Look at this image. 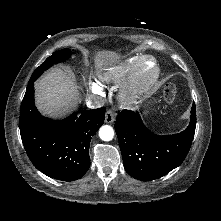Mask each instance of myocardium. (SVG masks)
Wrapping results in <instances>:
<instances>
[{
  "instance_id": "myocardium-1",
  "label": "myocardium",
  "mask_w": 221,
  "mask_h": 221,
  "mask_svg": "<svg viewBox=\"0 0 221 221\" xmlns=\"http://www.w3.org/2000/svg\"><path fill=\"white\" fill-rule=\"evenodd\" d=\"M148 62L152 63L153 72L146 77L143 74V68ZM159 75L160 67L157 60L152 56H142L129 74L128 81L121 94L122 101L126 104L135 102L155 85Z\"/></svg>"
}]
</instances>
